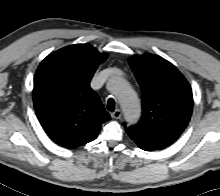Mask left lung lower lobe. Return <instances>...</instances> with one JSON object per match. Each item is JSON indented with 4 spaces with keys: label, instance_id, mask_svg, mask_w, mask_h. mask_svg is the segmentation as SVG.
Masks as SVG:
<instances>
[{
    "label": "left lung lower lobe",
    "instance_id": "1",
    "mask_svg": "<svg viewBox=\"0 0 220 196\" xmlns=\"http://www.w3.org/2000/svg\"><path fill=\"white\" fill-rule=\"evenodd\" d=\"M128 135L130 136V138L132 140H134L136 142V144L143 150L145 151H153L154 149H152L151 147H149L147 144H145L142 140H140L138 137H136L135 135H133L132 133L128 132Z\"/></svg>",
    "mask_w": 220,
    "mask_h": 196
}]
</instances>
